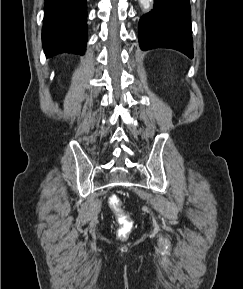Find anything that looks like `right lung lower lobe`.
Here are the masks:
<instances>
[{
    "instance_id": "1",
    "label": "right lung lower lobe",
    "mask_w": 243,
    "mask_h": 289,
    "mask_svg": "<svg viewBox=\"0 0 243 289\" xmlns=\"http://www.w3.org/2000/svg\"><path fill=\"white\" fill-rule=\"evenodd\" d=\"M86 0H45L42 42L46 57L84 54L87 42Z\"/></svg>"
}]
</instances>
